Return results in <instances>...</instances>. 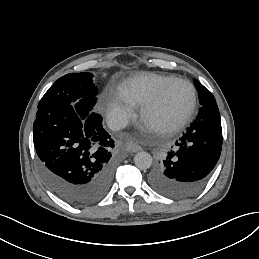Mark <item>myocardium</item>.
I'll use <instances>...</instances> for the list:
<instances>
[{"label": "myocardium", "instance_id": "myocardium-1", "mask_svg": "<svg viewBox=\"0 0 259 259\" xmlns=\"http://www.w3.org/2000/svg\"><path fill=\"white\" fill-rule=\"evenodd\" d=\"M184 82L186 83L190 90H191V99L189 104L181 111L179 114L174 116L169 123L161 130H157L158 134H172L177 132L189 119L192 115L193 111L195 110L197 104V92L194 84L183 77L174 76L167 81H165L160 88L158 89L157 93L149 99L143 106L140 119H146L154 110H156L163 102L165 94L169 87L176 82Z\"/></svg>", "mask_w": 259, "mask_h": 259}]
</instances>
